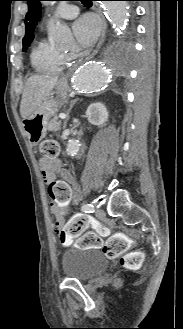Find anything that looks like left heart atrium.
<instances>
[{"mask_svg": "<svg viewBox=\"0 0 183 329\" xmlns=\"http://www.w3.org/2000/svg\"><path fill=\"white\" fill-rule=\"evenodd\" d=\"M100 23L92 14H85L78 18L73 24V32L78 44L82 47L92 45L99 33Z\"/></svg>", "mask_w": 183, "mask_h": 329, "instance_id": "left-heart-atrium-1", "label": "left heart atrium"}]
</instances>
